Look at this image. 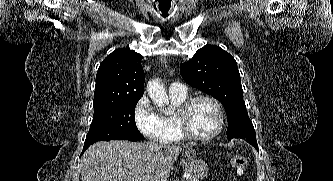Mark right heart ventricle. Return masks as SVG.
<instances>
[{
  "mask_svg": "<svg viewBox=\"0 0 333 181\" xmlns=\"http://www.w3.org/2000/svg\"><path fill=\"white\" fill-rule=\"evenodd\" d=\"M171 103L176 111V109L187 99V93L184 95H173L170 94ZM175 111L169 114H162L161 117L168 127V132L165 137L161 140L166 143L180 142L184 139L182 135L178 122L175 117Z\"/></svg>",
  "mask_w": 333,
  "mask_h": 181,
  "instance_id": "1",
  "label": "right heart ventricle"
}]
</instances>
